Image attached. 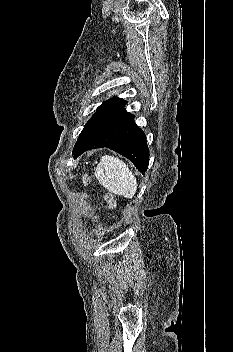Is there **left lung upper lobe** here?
Listing matches in <instances>:
<instances>
[{
  "mask_svg": "<svg viewBox=\"0 0 233 352\" xmlns=\"http://www.w3.org/2000/svg\"><path fill=\"white\" fill-rule=\"evenodd\" d=\"M125 104L126 101L118 97H113L103 102L84 126L74 146L73 153L99 136L107 128L129 115L130 113L124 109Z\"/></svg>",
  "mask_w": 233,
  "mask_h": 352,
  "instance_id": "obj_1",
  "label": "left lung upper lobe"
}]
</instances>
